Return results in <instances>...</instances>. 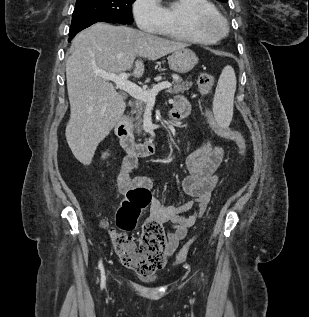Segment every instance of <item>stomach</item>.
Listing matches in <instances>:
<instances>
[{"label": "stomach", "instance_id": "obj_1", "mask_svg": "<svg viewBox=\"0 0 309 317\" xmlns=\"http://www.w3.org/2000/svg\"><path fill=\"white\" fill-rule=\"evenodd\" d=\"M198 63L196 54L187 48L174 51L168 57V64L171 70L177 73H187Z\"/></svg>", "mask_w": 309, "mask_h": 317}]
</instances>
